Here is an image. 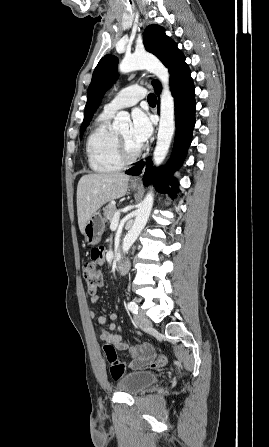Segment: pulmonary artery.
Returning a JSON list of instances; mask_svg holds the SVG:
<instances>
[{"label":"pulmonary artery","mask_w":269,"mask_h":447,"mask_svg":"<svg viewBox=\"0 0 269 447\" xmlns=\"http://www.w3.org/2000/svg\"><path fill=\"white\" fill-rule=\"evenodd\" d=\"M147 95V90L138 85H132L122 89L116 96L104 106L108 113H115L120 109L131 107L137 104Z\"/></svg>","instance_id":"pulmonary-artery-1"}]
</instances>
